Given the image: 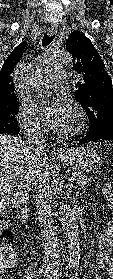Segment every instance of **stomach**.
Wrapping results in <instances>:
<instances>
[{"instance_id":"1","label":"stomach","mask_w":113,"mask_h":279,"mask_svg":"<svg viewBox=\"0 0 113 279\" xmlns=\"http://www.w3.org/2000/svg\"><path fill=\"white\" fill-rule=\"evenodd\" d=\"M59 159L63 164L78 171H90L98 168L103 162V156L94 144L78 147Z\"/></svg>"}]
</instances>
